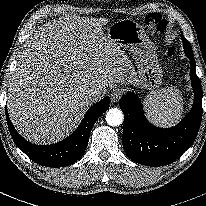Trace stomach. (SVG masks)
Returning <instances> with one entry per match:
<instances>
[{"instance_id": "0dacf381", "label": "stomach", "mask_w": 206, "mask_h": 206, "mask_svg": "<svg viewBox=\"0 0 206 206\" xmlns=\"http://www.w3.org/2000/svg\"><path fill=\"white\" fill-rule=\"evenodd\" d=\"M107 36L134 59V86L142 91H153L161 85L163 71L156 49L138 22L132 19L118 20L107 28Z\"/></svg>"}]
</instances>
